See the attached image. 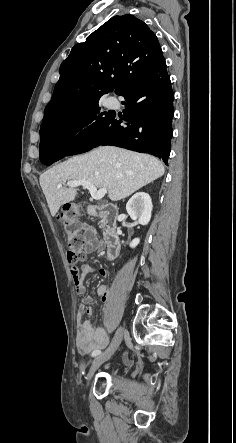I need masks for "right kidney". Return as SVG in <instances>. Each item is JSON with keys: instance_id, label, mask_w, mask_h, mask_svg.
Masks as SVG:
<instances>
[{"instance_id": "ca27d5eb", "label": "right kidney", "mask_w": 236, "mask_h": 443, "mask_svg": "<svg viewBox=\"0 0 236 443\" xmlns=\"http://www.w3.org/2000/svg\"><path fill=\"white\" fill-rule=\"evenodd\" d=\"M152 200L149 194L138 192L134 194L126 204V210L132 220L141 225H147L151 219ZM140 242L139 238H135L130 243L131 248H135Z\"/></svg>"}]
</instances>
